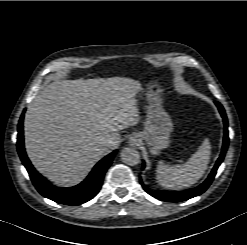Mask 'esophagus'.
Masks as SVG:
<instances>
[{"mask_svg":"<svg viewBox=\"0 0 247 245\" xmlns=\"http://www.w3.org/2000/svg\"><path fill=\"white\" fill-rule=\"evenodd\" d=\"M141 143L140 136L138 134H133L128 139V145L132 147H137Z\"/></svg>","mask_w":247,"mask_h":245,"instance_id":"34e87169","label":"esophagus"}]
</instances>
